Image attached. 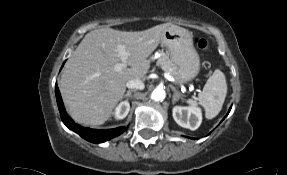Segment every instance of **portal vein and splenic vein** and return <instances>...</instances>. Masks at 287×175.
Here are the masks:
<instances>
[{"label":"portal vein and splenic vein","mask_w":287,"mask_h":175,"mask_svg":"<svg viewBox=\"0 0 287 175\" xmlns=\"http://www.w3.org/2000/svg\"><path fill=\"white\" fill-rule=\"evenodd\" d=\"M119 56L121 57L122 62L115 65L116 70H122L127 67V58L128 53L125 51L123 46H119L118 48ZM163 71H166L163 67H161Z\"/></svg>","instance_id":"1"}]
</instances>
